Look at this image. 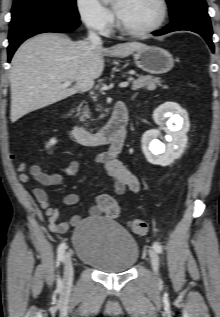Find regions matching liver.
I'll return each instance as SVG.
<instances>
[{"label": "liver", "instance_id": "liver-1", "mask_svg": "<svg viewBox=\"0 0 220 317\" xmlns=\"http://www.w3.org/2000/svg\"><path fill=\"white\" fill-rule=\"evenodd\" d=\"M143 47V43L128 42L104 48L55 33L39 34L25 41L11 62V122L90 89L104 70L103 56L127 57ZM65 81L74 84L62 87Z\"/></svg>", "mask_w": 220, "mask_h": 317}]
</instances>
